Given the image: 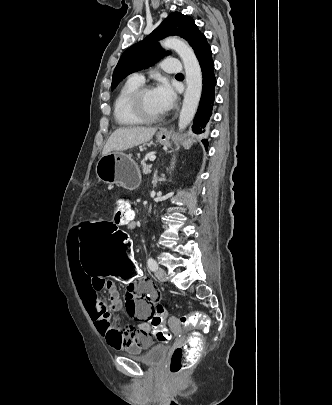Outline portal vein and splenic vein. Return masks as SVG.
I'll return each mask as SVG.
<instances>
[{
    "label": "portal vein and splenic vein",
    "instance_id": "portal-vein-and-splenic-vein-1",
    "mask_svg": "<svg viewBox=\"0 0 332 405\" xmlns=\"http://www.w3.org/2000/svg\"><path fill=\"white\" fill-rule=\"evenodd\" d=\"M155 158H156L155 156H151V157H150V161H154Z\"/></svg>",
    "mask_w": 332,
    "mask_h": 405
}]
</instances>
